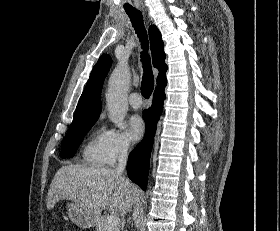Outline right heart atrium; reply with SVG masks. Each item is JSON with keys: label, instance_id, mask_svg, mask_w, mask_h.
<instances>
[{"label": "right heart atrium", "instance_id": "obj_1", "mask_svg": "<svg viewBox=\"0 0 280 231\" xmlns=\"http://www.w3.org/2000/svg\"><path fill=\"white\" fill-rule=\"evenodd\" d=\"M101 146L106 164H113L117 158L131 149L130 140L115 129L105 131L101 135Z\"/></svg>", "mask_w": 280, "mask_h": 231}]
</instances>
